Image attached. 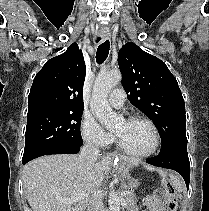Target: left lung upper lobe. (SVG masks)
<instances>
[{
	"mask_svg": "<svg viewBox=\"0 0 209 211\" xmlns=\"http://www.w3.org/2000/svg\"><path fill=\"white\" fill-rule=\"evenodd\" d=\"M118 65L129 101L159 130L160 153L187 143L184 99L166 64L130 42L120 49Z\"/></svg>",
	"mask_w": 209,
	"mask_h": 211,
	"instance_id": "5c2ea615",
	"label": "left lung upper lobe"
}]
</instances>
